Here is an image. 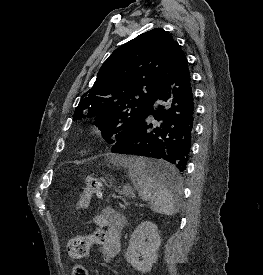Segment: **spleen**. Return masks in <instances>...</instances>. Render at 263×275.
<instances>
[{
  "label": "spleen",
  "instance_id": "spleen-1",
  "mask_svg": "<svg viewBox=\"0 0 263 275\" xmlns=\"http://www.w3.org/2000/svg\"><path fill=\"white\" fill-rule=\"evenodd\" d=\"M121 164L128 168L129 178L139 196L150 202L152 211L168 216L178 212V201L182 185L177 183V185L168 189L149 174L152 167H169L168 164L163 162L154 163L142 157H129L121 161Z\"/></svg>",
  "mask_w": 263,
  "mask_h": 275
}]
</instances>
